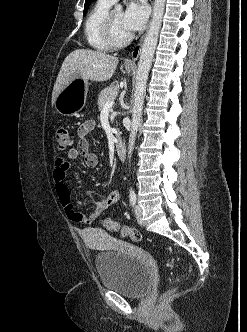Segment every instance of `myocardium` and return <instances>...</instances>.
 Masks as SVG:
<instances>
[{"instance_id":"obj_1","label":"myocardium","mask_w":247,"mask_h":332,"mask_svg":"<svg viewBox=\"0 0 247 332\" xmlns=\"http://www.w3.org/2000/svg\"><path fill=\"white\" fill-rule=\"evenodd\" d=\"M101 35L104 39V41L107 43V45L110 48H122L128 45L133 36L129 34L127 37L123 39H118L114 35L113 31V23H112V12L109 11L105 18L103 19V22L101 24Z\"/></svg>"}]
</instances>
